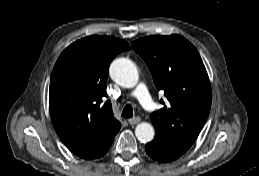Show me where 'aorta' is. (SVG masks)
Masks as SVG:
<instances>
[{"label": "aorta", "instance_id": "aorta-1", "mask_svg": "<svg viewBox=\"0 0 259 176\" xmlns=\"http://www.w3.org/2000/svg\"><path fill=\"white\" fill-rule=\"evenodd\" d=\"M109 74L116 83L126 88L134 87L139 80L135 64L127 58L114 60L110 65ZM135 135L139 141L147 143L154 139L155 130L151 124L142 122L136 126Z\"/></svg>", "mask_w": 259, "mask_h": 176}]
</instances>
